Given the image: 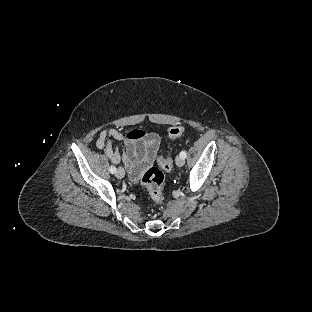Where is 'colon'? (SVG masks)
Segmentation results:
<instances>
[{"instance_id":"1","label":"colon","mask_w":312,"mask_h":312,"mask_svg":"<svg viewBox=\"0 0 312 312\" xmlns=\"http://www.w3.org/2000/svg\"><path fill=\"white\" fill-rule=\"evenodd\" d=\"M183 134V129L181 127H173L169 130V136L171 139H176L181 137ZM158 164L163 167V170L171 171L173 168V162L169 157H160ZM164 175L160 172L157 167H152L148 169L143 177L142 184L146 187L151 199L158 203L164 201L162 189H163Z\"/></svg>"}]
</instances>
